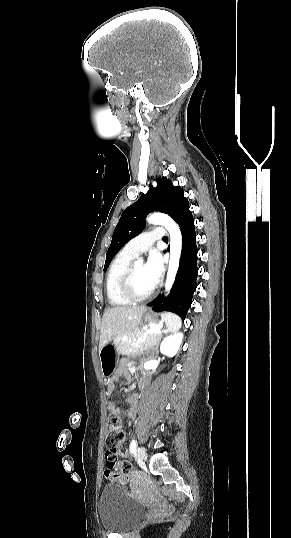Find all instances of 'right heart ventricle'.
<instances>
[{
  "instance_id": "e07e8e85",
  "label": "right heart ventricle",
  "mask_w": 291,
  "mask_h": 538,
  "mask_svg": "<svg viewBox=\"0 0 291 538\" xmlns=\"http://www.w3.org/2000/svg\"><path fill=\"white\" fill-rule=\"evenodd\" d=\"M135 256L122 249L113 258L106 277V294L113 306H126L132 301L126 298L120 288V280Z\"/></svg>"
}]
</instances>
